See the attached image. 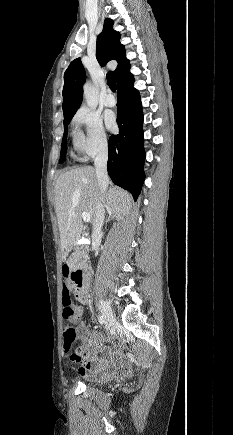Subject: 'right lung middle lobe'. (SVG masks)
Segmentation results:
<instances>
[{
	"label": "right lung middle lobe",
	"mask_w": 233,
	"mask_h": 435,
	"mask_svg": "<svg viewBox=\"0 0 233 435\" xmlns=\"http://www.w3.org/2000/svg\"><path fill=\"white\" fill-rule=\"evenodd\" d=\"M72 116H67L64 117V135H63V140H62V146H61V155H60V160L59 163H63L66 157V140H67V130H68V124L70 123Z\"/></svg>",
	"instance_id": "right-lung-middle-lobe-1"
}]
</instances>
